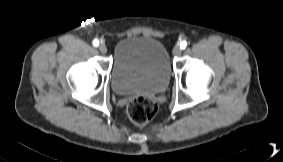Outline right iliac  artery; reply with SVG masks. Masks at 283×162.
Returning a JSON list of instances; mask_svg holds the SVG:
<instances>
[{"mask_svg": "<svg viewBox=\"0 0 283 162\" xmlns=\"http://www.w3.org/2000/svg\"><path fill=\"white\" fill-rule=\"evenodd\" d=\"M93 45H94L95 47H97V46L99 45V41L95 39V40L93 41Z\"/></svg>", "mask_w": 283, "mask_h": 162, "instance_id": "1", "label": "right iliac artery"}]
</instances>
